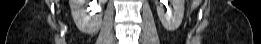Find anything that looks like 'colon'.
Returning a JSON list of instances; mask_svg holds the SVG:
<instances>
[{"instance_id": "colon-1", "label": "colon", "mask_w": 261, "mask_h": 44, "mask_svg": "<svg viewBox=\"0 0 261 44\" xmlns=\"http://www.w3.org/2000/svg\"><path fill=\"white\" fill-rule=\"evenodd\" d=\"M199 2H200V0H193L192 1L191 11L194 10L198 6Z\"/></svg>"}]
</instances>
